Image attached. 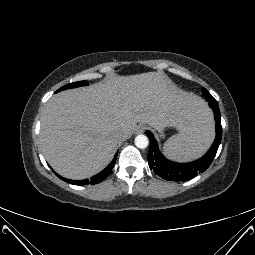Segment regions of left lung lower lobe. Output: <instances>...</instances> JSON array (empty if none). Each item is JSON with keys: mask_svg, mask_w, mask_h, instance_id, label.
I'll list each match as a JSON object with an SVG mask.
<instances>
[{"mask_svg": "<svg viewBox=\"0 0 255 255\" xmlns=\"http://www.w3.org/2000/svg\"><path fill=\"white\" fill-rule=\"evenodd\" d=\"M206 99L214 112L216 121V137L211 148L202 158L191 163H175L169 161L160 153L157 141L153 134L150 131H146V134L150 139L148 163L150 169H152L156 175H159L163 179L169 181H187L194 178L199 173L204 172L212 163L221 142L222 126L217 101L211 94L207 95Z\"/></svg>", "mask_w": 255, "mask_h": 255, "instance_id": "obj_1", "label": "left lung lower lobe"}]
</instances>
